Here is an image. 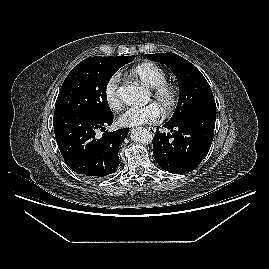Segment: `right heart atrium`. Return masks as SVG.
<instances>
[{
	"label": "right heart atrium",
	"mask_w": 269,
	"mask_h": 269,
	"mask_svg": "<svg viewBox=\"0 0 269 269\" xmlns=\"http://www.w3.org/2000/svg\"><path fill=\"white\" fill-rule=\"evenodd\" d=\"M121 82L120 72L113 73L104 86V97L108 107L113 111H118L122 107V101L118 94L119 84Z\"/></svg>",
	"instance_id": "right-heart-atrium-1"
}]
</instances>
